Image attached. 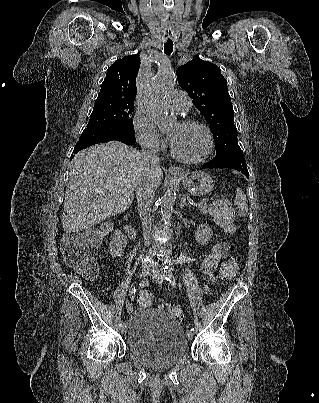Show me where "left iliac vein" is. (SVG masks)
<instances>
[{"instance_id":"left-iliac-vein-1","label":"left iliac vein","mask_w":319,"mask_h":403,"mask_svg":"<svg viewBox=\"0 0 319 403\" xmlns=\"http://www.w3.org/2000/svg\"><path fill=\"white\" fill-rule=\"evenodd\" d=\"M150 276L155 280L157 283L161 284L164 280V275L162 270L157 265H152ZM194 333L189 331L187 332V338L189 340L193 339Z\"/></svg>"}]
</instances>
